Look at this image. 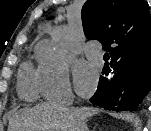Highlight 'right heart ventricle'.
Listing matches in <instances>:
<instances>
[{
	"label": "right heart ventricle",
	"mask_w": 151,
	"mask_h": 131,
	"mask_svg": "<svg viewBox=\"0 0 151 131\" xmlns=\"http://www.w3.org/2000/svg\"><path fill=\"white\" fill-rule=\"evenodd\" d=\"M17 89L19 96L26 101H34L39 97L41 91L37 72L30 63H25L21 67Z\"/></svg>",
	"instance_id": "e07e8e85"
}]
</instances>
